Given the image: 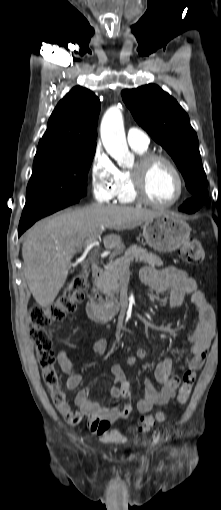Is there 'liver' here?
Listing matches in <instances>:
<instances>
[{
  "instance_id": "liver-1",
  "label": "liver",
  "mask_w": 221,
  "mask_h": 510,
  "mask_svg": "<svg viewBox=\"0 0 221 510\" xmlns=\"http://www.w3.org/2000/svg\"><path fill=\"white\" fill-rule=\"evenodd\" d=\"M159 214L161 212L143 208L93 204L36 223L25 233L22 246L24 276L36 302L41 307L54 302L67 279L76 251L88 244L101 227L117 231L133 229ZM120 243L121 237L117 234L103 238L107 249Z\"/></svg>"
}]
</instances>
